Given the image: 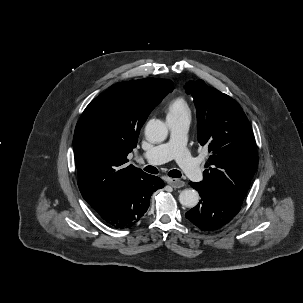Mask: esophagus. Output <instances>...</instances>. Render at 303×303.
<instances>
[{
    "mask_svg": "<svg viewBox=\"0 0 303 303\" xmlns=\"http://www.w3.org/2000/svg\"><path fill=\"white\" fill-rule=\"evenodd\" d=\"M167 183L173 188H182L185 186V182L180 179L168 178Z\"/></svg>",
    "mask_w": 303,
    "mask_h": 303,
    "instance_id": "1",
    "label": "esophagus"
}]
</instances>
